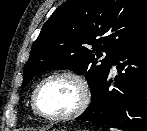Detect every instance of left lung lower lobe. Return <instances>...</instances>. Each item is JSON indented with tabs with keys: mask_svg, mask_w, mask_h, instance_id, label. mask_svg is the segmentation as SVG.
<instances>
[{
	"mask_svg": "<svg viewBox=\"0 0 147 131\" xmlns=\"http://www.w3.org/2000/svg\"><path fill=\"white\" fill-rule=\"evenodd\" d=\"M113 64L118 71L115 88L109 90L108 71L90 105L76 119L123 131H147V32L124 46Z\"/></svg>",
	"mask_w": 147,
	"mask_h": 131,
	"instance_id": "obj_1",
	"label": "left lung lower lobe"
}]
</instances>
